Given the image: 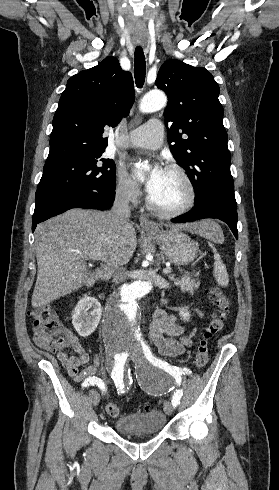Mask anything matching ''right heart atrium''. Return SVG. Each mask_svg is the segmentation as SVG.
<instances>
[{"mask_svg": "<svg viewBox=\"0 0 279 490\" xmlns=\"http://www.w3.org/2000/svg\"><path fill=\"white\" fill-rule=\"evenodd\" d=\"M114 193L116 198L124 203H136L139 198L138 189L120 169L115 173Z\"/></svg>", "mask_w": 279, "mask_h": 490, "instance_id": "right-heart-atrium-1", "label": "right heart atrium"}]
</instances>
